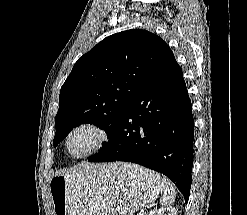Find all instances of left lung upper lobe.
Returning <instances> with one entry per match:
<instances>
[{
	"instance_id": "left-lung-upper-lobe-1",
	"label": "left lung upper lobe",
	"mask_w": 247,
	"mask_h": 215,
	"mask_svg": "<svg viewBox=\"0 0 247 215\" xmlns=\"http://www.w3.org/2000/svg\"><path fill=\"white\" fill-rule=\"evenodd\" d=\"M168 51L159 36L132 29L105 38L79 58L61 87L53 145L83 123L101 127L109 137Z\"/></svg>"
}]
</instances>
